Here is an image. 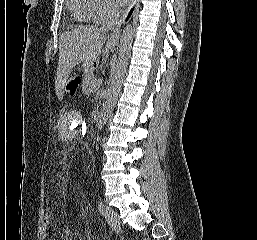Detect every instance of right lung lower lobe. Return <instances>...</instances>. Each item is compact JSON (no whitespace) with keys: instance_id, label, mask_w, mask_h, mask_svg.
I'll return each instance as SVG.
<instances>
[{"instance_id":"right-lung-lower-lobe-1","label":"right lung lower lobe","mask_w":257,"mask_h":240,"mask_svg":"<svg viewBox=\"0 0 257 240\" xmlns=\"http://www.w3.org/2000/svg\"><path fill=\"white\" fill-rule=\"evenodd\" d=\"M131 13H132V10L129 12L127 19L130 17Z\"/></svg>"}]
</instances>
